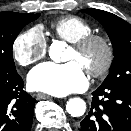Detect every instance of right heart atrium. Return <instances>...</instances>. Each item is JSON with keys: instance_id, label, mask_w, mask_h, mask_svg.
I'll use <instances>...</instances> for the list:
<instances>
[{"instance_id": "1", "label": "right heart atrium", "mask_w": 131, "mask_h": 131, "mask_svg": "<svg viewBox=\"0 0 131 131\" xmlns=\"http://www.w3.org/2000/svg\"><path fill=\"white\" fill-rule=\"evenodd\" d=\"M12 53L16 62L30 66L46 56L47 41L42 29L34 26L20 33L12 43Z\"/></svg>"}]
</instances>
